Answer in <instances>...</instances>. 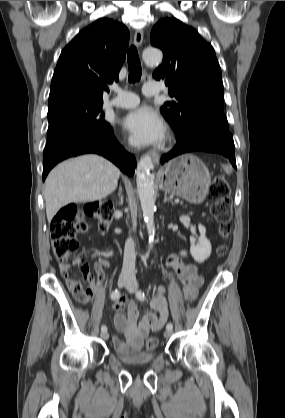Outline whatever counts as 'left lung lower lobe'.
<instances>
[{"instance_id": "left-lung-lower-lobe-1", "label": "left lung lower lobe", "mask_w": 285, "mask_h": 418, "mask_svg": "<svg viewBox=\"0 0 285 418\" xmlns=\"http://www.w3.org/2000/svg\"><path fill=\"white\" fill-rule=\"evenodd\" d=\"M192 151L219 153L227 157L236 168L234 141L229 130L217 127H204L183 140L177 141L175 147L161 158L164 164L168 160Z\"/></svg>"}]
</instances>
